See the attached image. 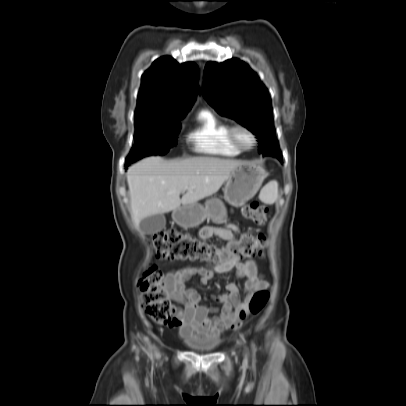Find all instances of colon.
Returning <instances> with one entry per match:
<instances>
[{
  "label": "colon",
  "instance_id": "5ec220e1",
  "mask_svg": "<svg viewBox=\"0 0 406 406\" xmlns=\"http://www.w3.org/2000/svg\"><path fill=\"white\" fill-rule=\"evenodd\" d=\"M241 214L260 225L267 223L269 218L268 210L257 202L244 204L241 207ZM151 244L158 260L198 261L222 266L247 258L262 257L266 237L244 233L219 247L189 234L168 230L153 234ZM138 288L145 313L157 323L168 324L173 306L167 297L161 270L153 264L149 265L138 282ZM268 298L267 290L254 293L248 306L240 311L239 318L246 319L249 315L259 314L267 304Z\"/></svg>",
  "mask_w": 406,
  "mask_h": 406
}]
</instances>
